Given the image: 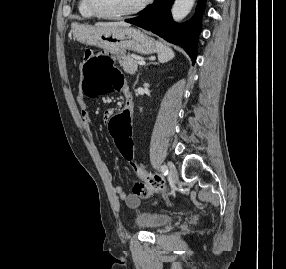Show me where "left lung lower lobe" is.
<instances>
[{"mask_svg":"<svg viewBox=\"0 0 286 269\" xmlns=\"http://www.w3.org/2000/svg\"><path fill=\"white\" fill-rule=\"evenodd\" d=\"M206 0H198L196 13L184 24H176L170 13L174 0H156L151 7L141 11V15L125 20L159 35L168 42L182 46L189 54L192 62L196 60V45L201 30V15Z\"/></svg>","mask_w":286,"mask_h":269,"instance_id":"obj_1","label":"left lung lower lobe"}]
</instances>
